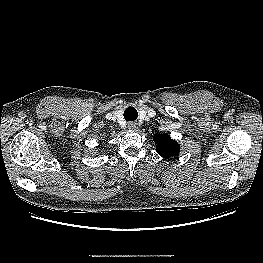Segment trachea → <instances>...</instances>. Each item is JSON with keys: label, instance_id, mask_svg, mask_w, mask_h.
I'll return each mask as SVG.
<instances>
[{"label": "trachea", "instance_id": "trachea-1", "mask_svg": "<svg viewBox=\"0 0 263 263\" xmlns=\"http://www.w3.org/2000/svg\"><path fill=\"white\" fill-rule=\"evenodd\" d=\"M124 118L126 121H134L138 117V112L134 107H127L124 111Z\"/></svg>", "mask_w": 263, "mask_h": 263}]
</instances>
